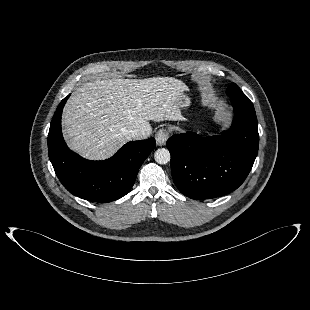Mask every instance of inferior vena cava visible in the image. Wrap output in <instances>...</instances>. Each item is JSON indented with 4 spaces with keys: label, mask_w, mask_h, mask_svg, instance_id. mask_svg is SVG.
<instances>
[{
    "label": "inferior vena cava",
    "mask_w": 310,
    "mask_h": 310,
    "mask_svg": "<svg viewBox=\"0 0 310 310\" xmlns=\"http://www.w3.org/2000/svg\"><path fill=\"white\" fill-rule=\"evenodd\" d=\"M128 137L131 140H141L147 138V134L140 131L139 129L129 130Z\"/></svg>",
    "instance_id": "1"
}]
</instances>
